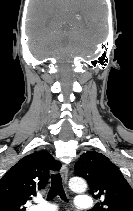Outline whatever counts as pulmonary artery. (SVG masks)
<instances>
[{"instance_id": "e3ab8cb5", "label": "pulmonary artery", "mask_w": 133, "mask_h": 211, "mask_svg": "<svg viewBox=\"0 0 133 211\" xmlns=\"http://www.w3.org/2000/svg\"><path fill=\"white\" fill-rule=\"evenodd\" d=\"M39 205L33 207L30 211H56L54 205L48 204L43 200H39ZM94 206L93 199L88 195H78L76 197V207L79 210H90Z\"/></svg>"}]
</instances>
